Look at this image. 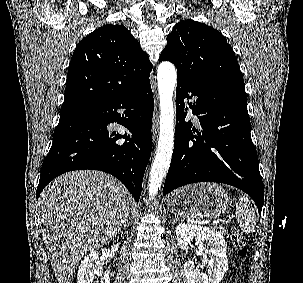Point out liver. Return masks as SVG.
<instances>
[{
	"instance_id": "1",
	"label": "liver",
	"mask_w": 303,
	"mask_h": 283,
	"mask_svg": "<svg viewBox=\"0 0 303 283\" xmlns=\"http://www.w3.org/2000/svg\"><path fill=\"white\" fill-rule=\"evenodd\" d=\"M41 232L59 283H70L79 261L109 243L128 207L127 190L100 171H72L54 179L38 200Z\"/></svg>"
}]
</instances>
